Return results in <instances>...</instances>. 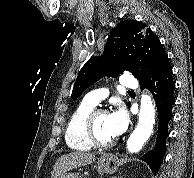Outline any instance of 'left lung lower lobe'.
I'll list each match as a JSON object with an SVG mask.
<instances>
[{
	"label": "left lung lower lobe",
	"mask_w": 194,
	"mask_h": 178,
	"mask_svg": "<svg viewBox=\"0 0 194 178\" xmlns=\"http://www.w3.org/2000/svg\"><path fill=\"white\" fill-rule=\"evenodd\" d=\"M142 88H148L156 102L159 124L157 144L153 151L143 156V160L156 173L165 153V138L168 135L167 124L172 119L171 108L175 103V83L172 78V68L168 56L164 57L158 66L139 81ZM130 107V106H129Z\"/></svg>",
	"instance_id": "0a47b994"
}]
</instances>
